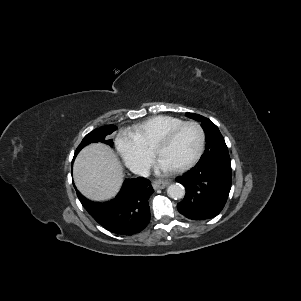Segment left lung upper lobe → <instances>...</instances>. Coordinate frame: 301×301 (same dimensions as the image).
Wrapping results in <instances>:
<instances>
[{
    "instance_id": "left-lung-upper-lobe-1",
    "label": "left lung upper lobe",
    "mask_w": 301,
    "mask_h": 301,
    "mask_svg": "<svg viewBox=\"0 0 301 301\" xmlns=\"http://www.w3.org/2000/svg\"><path fill=\"white\" fill-rule=\"evenodd\" d=\"M186 116L200 121L205 132L206 148L198 163H206L210 161L231 163L228 148L218 127L208 118H205L201 115L186 113Z\"/></svg>"
}]
</instances>
